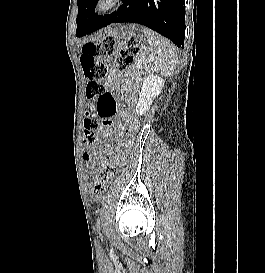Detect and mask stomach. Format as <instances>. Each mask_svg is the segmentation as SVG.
<instances>
[{
    "label": "stomach",
    "instance_id": "1",
    "mask_svg": "<svg viewBox=\"0 0 265 273\" xmlns=\"http://www.w3.org/2000/svg\"><path fill=\"white\" fill-rule=\"evenodd\" d=\"M106 35H121L123 37L146 35L144 25H109Z\"/></svg>",
    "mask_w": 265,
    "mask_h": 273
}]
</instances>
